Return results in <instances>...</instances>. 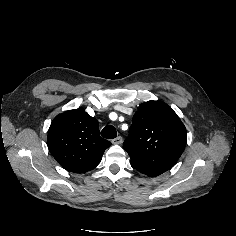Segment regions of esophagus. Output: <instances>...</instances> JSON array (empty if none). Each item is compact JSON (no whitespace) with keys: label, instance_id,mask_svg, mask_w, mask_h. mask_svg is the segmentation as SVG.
I'll list each match as a JSON object with an SVG mask.
<instances>
[{"label":"esophagus","instance_id":"esophagus-1","mask_svg":"<svg viewBox=\"0 0 236 236\" xmlns=\"http://www.w3.org/2000/svg\"><path fill=\"white\" fill-rule=\"evenodd\" d=\"M123 142V139L121 136L116 137L115 139L112 140L113 144H121Z\"/></svg>","mask_w":236,"mask_h":236}]
</instances>
